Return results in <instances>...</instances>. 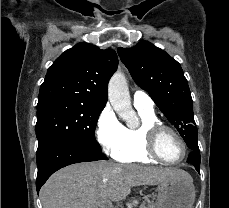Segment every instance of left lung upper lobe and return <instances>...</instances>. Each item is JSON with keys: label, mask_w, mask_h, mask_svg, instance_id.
<instances>
[{"label": "left lung upper lobe", "mask_w": 229, "mask_h": 208, "mask_svg": "<svg viewBox=\"0 0 229 208\" xmlns=\"http://www.w3.org/2000/svg\"><path fill=\"white\" fill-rule=\"evenodd\" d=\"M117 51L133 80L149 93L180 135L183 138L197 136L193 101L180 64L147 41Z\"/></svg>", "instance_id": "left-lung-upper-lobe-1"}]
</instances>
